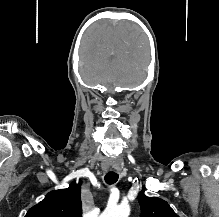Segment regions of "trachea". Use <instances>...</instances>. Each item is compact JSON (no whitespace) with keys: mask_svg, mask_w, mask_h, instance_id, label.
Returning a JSON list of instances; mask_svg holds the SVG:
<instances>
[{"mask_svg":"<svg viewBox=\"0 0 219 217\" xmlns=\"http://www.w3.org/2000/svg\"><path fill=\"white\" fill-rule=\"evenodd\" d=\"M118 177H119V175L117 173H115V172H108L105 175L104 179H105V182L107 184L111 185V184H114V183L117 182Z\"/></svg>","mask_w":219,"mask_h":217,"instance_id":"3493384b","label":"trachea"}]
</instances>
